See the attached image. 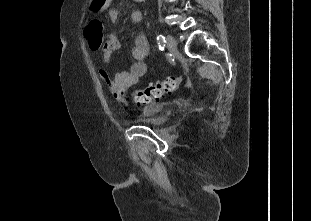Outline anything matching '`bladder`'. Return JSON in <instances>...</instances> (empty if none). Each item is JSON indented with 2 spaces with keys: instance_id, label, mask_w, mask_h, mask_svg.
<instances>
[{
  "instance_id": "31cf9c89",
  "label": "bladder",
  "mask_w": 311,
  "mask_h": 221,
  "mask_svg": "<svg viewBox=\"0 0 311 221\" xmlns=\"http://www.w3.org/2000/svg\"><path fill=\"white\" fill-rule=\"evenodd\" d=\"M166 105V103H160L155 105L154 108H144L143 114L149 116L143 118H133L131 119V123L150 128H161L167 121L165 116H160V113L164 112Z\"/></svg>"
}]
</instances>
